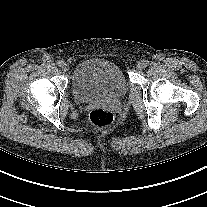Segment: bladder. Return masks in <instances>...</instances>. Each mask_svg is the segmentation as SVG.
Instances as JSON below:
<instances>
[{
  "instance_id": "1",
  "label": "bladder",
  "mask_w": 207,
  "mask_h": 207,
  "mask_svg": "<svg viewBox=\"0 0 207 207\" xmlns=\"http://www.w3.org/2000/svg\"><path fill=\"white\" fill-rule=\"evenodd\" d=\"M128 84L117 64L105 59H88L72 72V93L79 103L117 99L126 94Z\"/></svg>"
}]
</instances>
